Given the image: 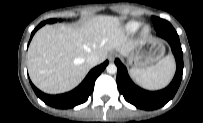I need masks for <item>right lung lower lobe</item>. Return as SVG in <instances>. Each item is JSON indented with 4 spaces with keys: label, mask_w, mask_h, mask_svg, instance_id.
<instances>
[{
    "label": "right lung lower lobe",
    "mask_w": 203,
    "mask_h": 123,
    "mask_svg": "<svg viewBox=\"0 0 203 123\" xmlns=\"http://www.w3.org/2000/svg\"><path fill=\"white\" fill-rule=\"evenodd\" d=\"M42 26L43 25L39 24L33 30V32L31 33V38L33 37L34 33ZM107 65L108 61H105L101 65L93 68L77 88L65 94L48 95L38 90L31 82L30 83L36 95L45 104L59 109L72 108L74 106L84 103L88 99L89 95L92 93L94 89L95 80Z\"/></svg>",
    "instance_id": "right-lung-lower-lobe-1"
}]
</instances>
